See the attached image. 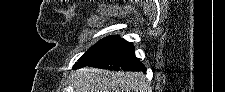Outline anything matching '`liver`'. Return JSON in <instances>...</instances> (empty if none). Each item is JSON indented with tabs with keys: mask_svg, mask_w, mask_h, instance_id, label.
<instances>
[{
	"mask_svg": "<svg viewBox=\"0 0 225 92\" xmlns=\"http://www.w3.org/2000/svg\"><path fill=\"white\" fill-rule=\"evenodd\" d=\"M74 75V92H149L150 89L141 72L82 68Z\"/></svg>",
	"mask_w": 225,
	"mask_h": 92,
	"instance_id": "1",
	"label": "liver"
}]
</instances>
